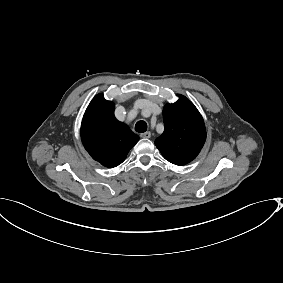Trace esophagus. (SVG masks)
Here are the masks:
<instances>
[{
	"mask_svg": "<svg viewBox=\"0 0 283 283\" xmlns=\"http://www.w3.org/2000/svg\"><path fill=\"white\" fill-rule=\"evenodd\" d=\"M141 138H150L151 137V133L149 131L145 132V133H141L140 134Z\"/></svg>",
	"mask_w": 283,
	"mask_h": 283,
	"instance_id": "esophagus-1",
	"label": "esophagus"
}]
</instances>
